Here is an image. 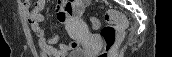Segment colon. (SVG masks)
I'll return each mask as SVG.
<instances>
[{"label": "colon", "mask_w": 172, "mask_h": 57, "mask_svg": "<svg viewBox=\"0 0 172 57\" xmlns=\"http://www.w3.org/2000/svg\"><path fill=\"white\" fill-rule=\"evenodd\" d=\"M107 25L101 27L97 18H91V25L94 29L101 28V36L104 41V49L98 57H112V52L122 39L123 30L128 26L125 16L116 10L105 12Z\"/></svg>", "instance_id": "colon-1"}]
</instances>
